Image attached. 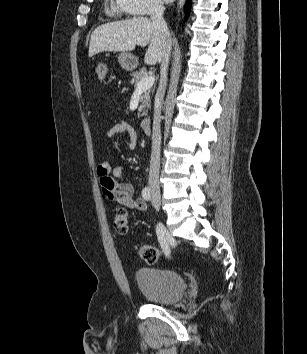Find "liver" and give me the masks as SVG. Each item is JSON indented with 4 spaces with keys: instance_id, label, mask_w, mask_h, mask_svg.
Here are the masks:
<instances>
[{
    "instance_id": "1",
    "label": "liver",
    "mask_w": 307,
    "mask_h": 354,
    "mask_svg": "<svg viewBox=\"0 0 307 354\" xmlns=\"http://www.w3.org/2000/svg\"><path fill=\"white\" fill-rule=\"evenodd\" d=\"M146 45L149 46L144 62L148 65L162 62L165 46L152 20L147 17L131 18L97 27L91 35L88 56L107 51L128 52Z\"/></svg>"
}]
</instances>
